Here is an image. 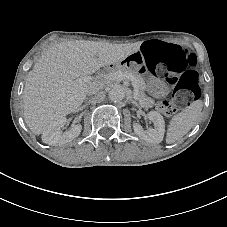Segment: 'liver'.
I'll list each match as a JSON object with an SVG mask.
<instances>
[{"mask_svg":"<svg viewBox=\"0 0 227 227\" xmlns=\"http://www.w3.org/2000/svg\"><path fill=\"white\" fill-rule=\"evenodd\" d=\"M139 44H111L76 40L44 50L28 72L23 91L24 120L35 135L61 116L74 112L94 82L98 69L116 64L139 49Z\"/></svg>","mask_w":227,"mask_h":227,"instance_id":"6515ba94","label":"liver"}]
</instances>
